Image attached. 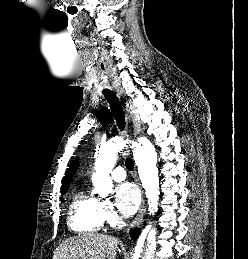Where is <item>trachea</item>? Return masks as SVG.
Masks as SVG:
<instances>
[{
    "mask_svg": "<svg viewBox=\"0 0 248 259\" xmlns=\"http://www.w3.org/2000/svg\"><path fill=\"white\" fill-rule=\"evenodd\" d=\"M103 94H104L107 102L110 104V108L115 117L118 127L121 130H123L125 127V116H124V111L121 106V103L119 102V100H118L117 96L114 94V92H105ZM125 165H126V168L130 171H132L134 168V162L131 158L126 159Z\"/></svg>",
    "mask_w": 248,
    "mask_h": 259,
    "instance_id": "obj_1",
    "label": "trachea"
}]
</instances>
